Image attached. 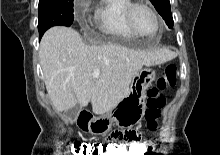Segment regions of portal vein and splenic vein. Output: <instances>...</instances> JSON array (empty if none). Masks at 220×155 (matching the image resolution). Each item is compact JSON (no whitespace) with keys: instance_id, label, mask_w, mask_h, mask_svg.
<instances>
[{"instance_id":"obj_1","label":"portal vein and splenic vein","mask_w":220,"mask_h":155,"mask_svg":"<svg viewBox=\"0 0 220 155\" xmlns=\"http://www.w3.org/2000/svg\"><path fill=\"white\" fill-rule=\"evenodd\" d=\"M99 74H100V70H99V69H95V70L93 71V77H94L95 79H98Z\"/></svg>"}]
</instances>
